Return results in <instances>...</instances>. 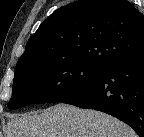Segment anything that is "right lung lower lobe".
Returning a JSON list of instances; mask_svg holds the SVG:
<instances>
[{
  "mask_svg": "<svg viewBox=\"0 0 144 137\" xmlns=\"http://www.w3.org/2000/svg\"><path fill=\"white\" fill-rule=\"evenodd\" d=\"M62 102L110 114L144 137V49L113 63L101 77Z\"/></svg>",
  "mask_w": 144,
  "mask_h": 137,
  "instance_id": "98d812e1",
  "label": "right lung lower lobe"
}]
</instances>
